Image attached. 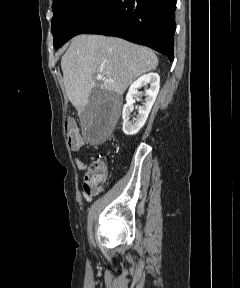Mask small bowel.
<instances>
[{
	"mask_svg": "<svg viewBox=\"0 0 240 288\" xmlns=\"http://www.w3.org/2000/svg\"><path fill=\"white\" fill-rule=\"evenodd\" d=\"M79 150V149H77ZM74 162L76 164V167L81 171H89L90 165L81 161L78 157L74 158Z\"/></svg>",
	"mask_w": 240,
	"mask_h": 288,
	"instance_id": "obj_1",
	"label": "small bowel"
}]
</instances>
